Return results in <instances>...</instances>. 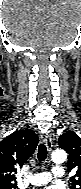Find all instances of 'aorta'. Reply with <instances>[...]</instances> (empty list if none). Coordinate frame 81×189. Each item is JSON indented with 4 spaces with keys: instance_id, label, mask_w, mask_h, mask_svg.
<instances>
[{
    "instance_id": "aorta-1",
    "label": "aorta",
    "mask_w": 81,
    "mask_h": 189,
    "mask_svg": "<svg viewBox=\"0 0 81 189\" xmlns=\"http://www.w3.org/2000/svg\"><path fill=\"white\" fill-rule=\"evenodd\" d=\"M51 159L55 163H63L67 160V153L64 150H55L51 155Z\"/></svg>"
}]
</instances>
